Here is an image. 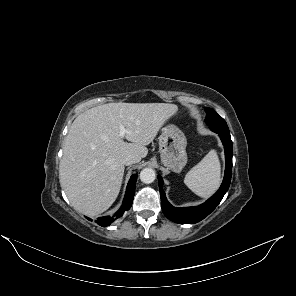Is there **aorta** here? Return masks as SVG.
Returning <instances> with one entry per match:
<instances>
[{"label": "aorta", "instance_id": "1", "mask_svg": "<svg viewBox=\"0 0 296 296\" xmlns=\"http://www.w3.org/2000/svg\"><path fill=\"white\" fill-rule=\"evenodd\" d=\"M156 178L155 171L152 168H144L140 172V180L145 184L152 183Z\"/></svg>", "mask_w": 296, "mask_h": 296}]
</instances>
